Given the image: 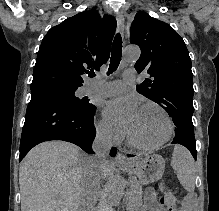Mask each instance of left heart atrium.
<instances>
[{"mask_svg": "<svg viewBox=\"0 0 219 211\" xmlns=\"http://www.w3.org/2000/svg\"><path fill=\"white\" fill-rule=\"evenodd\" d=\"M139 109L138 102L134 97H120L105 103L104 115L108 120L119 123L128 129L135 120Z\"/></svg>", "mask_w": 219, "mask_h": 211, "instance_id": "39dd6f15", "label": "left heart atrium"}]
</instances>
